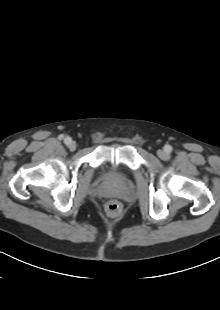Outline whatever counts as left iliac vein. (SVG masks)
<instances>
[{
	"mask_svg": "<svg viewBox=\"0 0 220 310\" xmlns=\"http://www.w3.org/2000/svg\"><path fill=\"white\" fill-rule=\"evenodd\" d=\"M157 155L163 160H167L169 158V154L165 150H158Z\"/></svg>",
	"mask_w": 220,
	"mask_h": 310,
	"instance_id": "1",
	"label": "left iliac vein"
}]
</instances>
